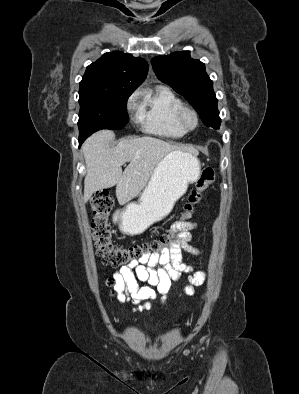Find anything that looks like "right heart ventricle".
<instances>
[{
  "label": "right heart ventricle",
  "mask_w": 299,
  "mask_h": 394,
  "mask_svg": "<svg viewBox=\"0 0 299 394\" xmlns=\"http://www.w3.org/2000/svg\"><path fill=\"white\" fill-rule=\"evenodd\" d=\"M183 105L180 98L169 88L157 86L143 91L137 110L142 129L164 138H180L186 132L178 125L176 115Z\"/></svg>",
  "instance_id": "obj_1"
}]
</instances>
